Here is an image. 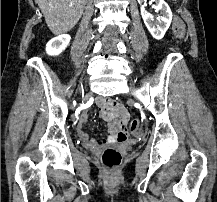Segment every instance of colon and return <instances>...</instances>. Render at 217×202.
Instances as JSON below:
<instances>
[{"mask_svg": "<svg viewBox=\"0 0 217 202\" xmlns=\"http://www.w3.org/2000/svg\"><path fill=\"white\" fill-rule=\"evenodd\" d=\"M173 34L178 40H186L187 39V32H186V25L182 17L175 16L173 21ZM139 126L138 119H132L130 123V130L132 135H139V130H136ZM122 161L121 153L113 148L108 147L104 150L102 154V162L104 166L107 168V173L109 177H116V168L120 165Z\"/></svg>", "mask_w": 217, "mask_h": 202, "instance_id": "1", "label": "colon"}]
</instances>
